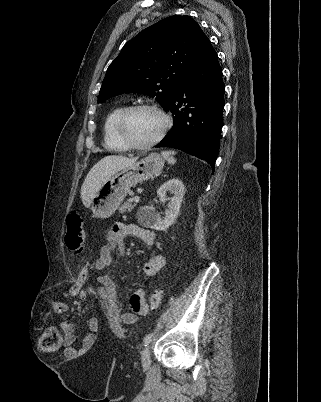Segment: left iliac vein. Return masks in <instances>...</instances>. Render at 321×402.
Masks as SVG:
<instances>
[{"mask_svg": "<svg viewBox=\"0 0 321 402\" xmlns=\"http://www.w3.org/2000/svg\"><path fill=\"white\" fill-rule=\"evenodd\" d=\"M141 360H142V364L145 367H148L150 365V351H149V347H145L142 350L141 353Z\"/></svg>", "mask_w": 321, "mask_h": 402, "instance_id": "1", "label": "left iliac vein"}]
</instances>
